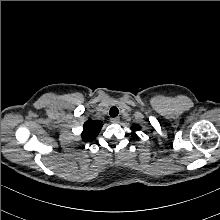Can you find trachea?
Wrapping results in <instances>:
<instances>
[{
	"label": "trachea",
	"mask_w": 220,
	"mask_h": 220,
	"mask_svg": "<svg viewBox=\"0 0 220 220\" xmlns=\"http://www.w3.org/2000/svg\"><path fill=\"white\" fill-rule=\"evenodd\" d=\"M119 113V110L117 107L113 106L110 111H109V114L111 117H116Z\"/></svg>",
	"instance_id": "1"
}]
</instances>
